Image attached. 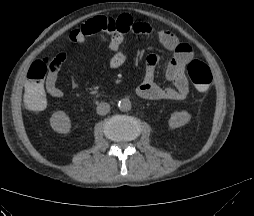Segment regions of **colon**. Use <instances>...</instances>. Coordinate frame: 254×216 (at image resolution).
I'll return each instance as SVG.
<instances>
[{"label":"colon","mask_w":254,"mask_h":216,"mask_svg":"<svg viewBox=\"0 0 254 216\" xmlns=\"http://www.w3.org/2000/svg\"><path fill=\"white\" fill-rule=\"evenodd\" d=\"M60 65L61 60L58 55L32 64L27 74L25 92L22 97L23 105L28 111L38 113L47 107L49 97L43 89V81L50 70L56 71ZM187 74L198 91L205 92L209 89L212 72L206 63L197 59L191 60L187 65Z\"/></svg>","instance_id":"5ec220e1"}]
</instances>
